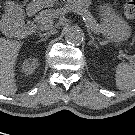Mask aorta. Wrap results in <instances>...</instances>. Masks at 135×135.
Listing matches in <instances>:
<instances>
[{
  "mask_svg": "<svg viewBox=\"0 0 135 135\" xmlns=\"http://www.w3.org/2000/svg\"><path fill=\"white\" fill-rule=\"evenodd\" d=\"M65 40L68 44L80 45L84 39L82 30L75 26H68L64 30Z\"/></svg>",
  "mask_w": 135,
  "mask_h": 135,
  "instance_id": "obj_1",
  "label": "aorta"
}]
</instances>
